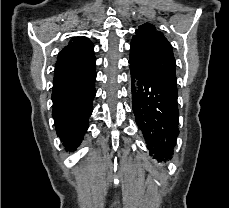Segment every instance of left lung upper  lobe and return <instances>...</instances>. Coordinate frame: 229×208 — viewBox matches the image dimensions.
<instances>
[{
  "label": "left lung upper lobe",
  "instance_id": "1",
  "mask_svg": "<svg viewBox=\"0 0 229 208\" xmlns=\"http://www.w3.org/2000/svg\"><path fill=\"white\" fill-rule=\"evenodd\" d=\"M129 60L151 80L177 92L172 46L153 24L145 23L136 29L130 44Z\"/></svg>",
  "mask_w": 229,
  "mask_h": 208
}]
</instances>
